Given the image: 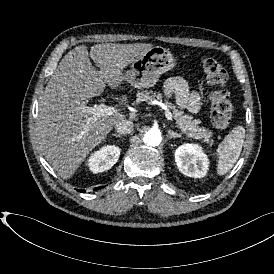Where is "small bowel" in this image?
<instances>
[{"label":"small bowel","instance_id":"obj_1","mask_svg":"<svg viewBox=\"0 0 274 274\" xmlns=\"http://www.w3.org/2000/svg\"><path fill=\"white\" fill-rule=\"evenodd\" d=\"M164 90L166 95L173 97L181 108L191 113H196L199 110L200 95L196 91L190 90L181 77L169 78L164 84Z\"/></svg>","mask_w":274,"mask_h":274}]
</instances>
